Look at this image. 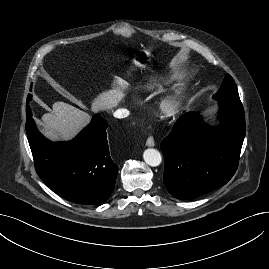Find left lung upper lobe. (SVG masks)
<instances>
[{"label":"left lung upper lobe","instance_id":"left-lung-upper-lobe-1","mask_svg":"<svg viewBox=\"0 0 269 269\" xmlns=\"http://www.w3.org/2000/svg\"><path fill=\"white\" fill-rule=\"evenodd\" d=\"M215 100L240 101L237 86L233 78L227 74L219 91L213 96Z\"/></svg>","mask_w":269,"mask_h":269}]
</instances>
